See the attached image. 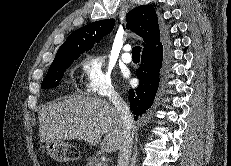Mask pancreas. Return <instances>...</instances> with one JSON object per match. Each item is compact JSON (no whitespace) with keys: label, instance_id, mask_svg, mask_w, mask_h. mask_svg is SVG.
Listing matches in <instances>:
<instances>
[{"label":"pancreas","instance_id":"pancreas-1","mask_svg":"<svg viewBox=\"0 0 231 166\" xmlns=\"http://www.w3.org/2000/svg\"><path fill=\"white\" fill-rule=\"evenodd\" d=\"M85 166H107V163L97 156H91L87 159Z\"/></svg>","mask_w":231,"mask_h":166}]
</instances>
